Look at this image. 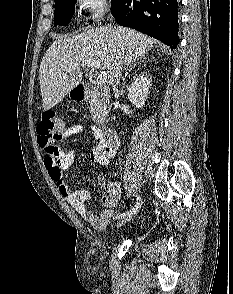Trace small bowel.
Here are the masks:
<instances>
[{
  "label": "small bowel",
  "instance_id": "small-bowel-1",
  "mask_svg": "<svg viewBox=\"0 0 233 294\" xmlns=\"http://www.w3.org/2000/svg\"><path fill=\"white\" fill-rule=\"evenodd\" d=\"M85 126L82 123L74 124L68 127L64 138H69L82 133ZM92 132L97 140V144L90 153V159L93 163L108 165L110 160L116 155L117 146L109 145L102 137L101 131L93 126ZM74 149H61L59 156L53 158L46 156L44 165L50 178L55 182L59 192L74 210L88 221L95 229L103 230L113 216V207H115L121 196V187L118 182H108L102 175L97 177V185L106 188V195L103 197V203L107 206L99 215L89 211L86 202L90 199V193L86 189H70L63 181V172L69 169L75 161Z\"/></svg>",
  "mask_w": 233,
  "mask_h": 294
}]
</instances>
